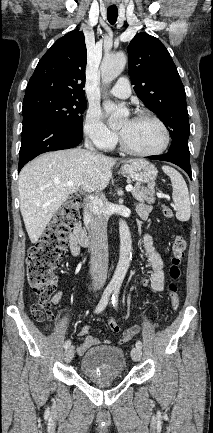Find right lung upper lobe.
<instances>
[{"label":"right lung upper lobe","instance_id":"1","mask_svg":"<svg viewBox=\"0 0 213 433\" xmlns=\"http://www.w3.org/2000/svg\"><path fill=\"white\" fill-rule=\"evenodd\" d=\"M86 63L84 34L75 29L58 39L41 58L25 97L48 93L85 98Z\"/></svg>","mask_w":213,"mask_h":433}]
</instances>
